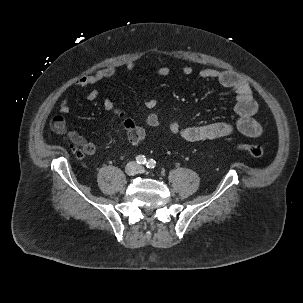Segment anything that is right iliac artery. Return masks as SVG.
<instances>
[{
    "instance_id": "right-iliac-artery-1",
    "label": "right iliac artery",
    "mask_w": 303,
    "mask_h": 303,
    "mask_svg": "<svg viewBox=\"0 0 303 303\" xmlns=\"http://www.w3.org/2000/svg\"><path fill=\"white\" fill-rule=\"evenodd\" d=\"M136 162L138 163V164H141V165H143V164H146V158H145V156H143V155H138L137 157H136Z\"/></svg>"
}]
</instances>
